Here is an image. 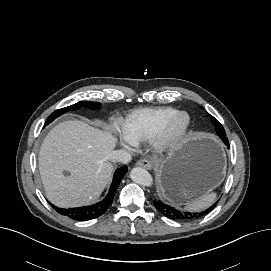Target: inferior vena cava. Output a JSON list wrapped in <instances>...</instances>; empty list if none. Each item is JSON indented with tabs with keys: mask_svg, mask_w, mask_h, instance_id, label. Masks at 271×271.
I'll use <instances>...</instances> for the list:
<instances>
[{
	"mask_svg": "<svg viewBox=\"0 0 271 271\" xmlns=\"http://www.w3.org/2000/svg\"><path fill=\"white\" fill-rule=\"evenodd\" d=\"M132 157L126 150H114L110 153V160L113 162H120L127 164L131 161Z\"/></svg>",
	"mask_w": 271,
	"mask_h": 271,
	"instance_id": "602c4592",
	"label": "inferior vena cava"
}]
</instances>
